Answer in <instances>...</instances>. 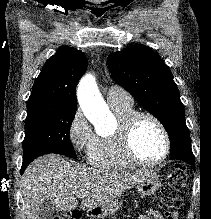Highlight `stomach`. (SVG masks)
Wrapping results in <instances>:
<instances>
[{"mask_svg":"<svg viewBox=\"0 0 211 219\" xmlns=\"http://www.w3.org/2000/svg\"><path fill=\"white\" fill-rule=\"evenodd\" d=\"M160 184L161 182L159 176L156 173L150 172L148 176H146L141 182L137 184V189L141 195L148 196L154 194L160 187ZM122 205V200L115 199L103 206L90 209L88 214H91V216L97 215L100 217L108 216L116 212L119 208L122 207Z\"/></svg>","mask_w":211,"mask_h":219,"instance_id":"1","label":"stomach"}]
</instances>
